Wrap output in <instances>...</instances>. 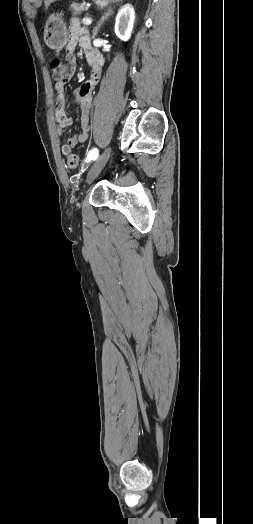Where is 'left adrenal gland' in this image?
Returning <instances> with one entry per match:
<instances>
[{
  "instance_id": "left-adrenal-gland-1",
  "label": "left adrenal gland",
  "mask_w": 253,
  "mask_h": 524,
  "mask_svg": "<svg viewBox=\"0 0 253 524\" xmlns=\"http://www.w3.org/2000/svg\"><path fill=\"white\" fill-rule=\"evenodd\" d=\"M112 14H113V10H112V8L110 7V8L107 10V12H106L102 17H101V19H100L99 23L97 24V26L94 28V30H93V36H92L93 38H95V37L97 36L100 27H101V26L103 25V23L108 19V17H109L110 15H112Z\"/></svg>"
}]
</instances>
